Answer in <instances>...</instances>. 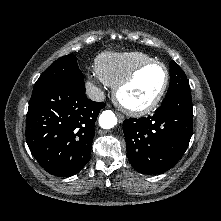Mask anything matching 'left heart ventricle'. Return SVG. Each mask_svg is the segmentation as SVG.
<instances>
[{
  "instance_id": "left-heart-ventricle-1",
  "label": "left heart ventricle",
  "mask_w": 221,
  "mask_h": 221,
  "mask_svg": "<svg viewBox=\"0 0 221 221\" xmlns=\"http://www.w3.org/2000/svg\"><path fill=\"white\" fill-rule=\"evenodd\" d=\"M165 73L160 66H151L141 71L136 79L121 92L125 103L143 106L158 93L164 82Z\"/></svg>"
}]
</instances>
